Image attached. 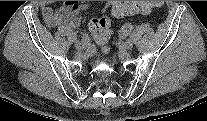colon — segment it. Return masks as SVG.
I'll return each instance as SVG.
<instances>
[{"instance_id": "5ec220e1", "label": "colon", "mask_w": 207, "mask_h": 121, "mask_svg": "<svg viewBox=\"0 0 207 121\" xmlns=\"http://www.w3.org/2000/svg\"><path fill=\"white\" fill-rule=\"evenodd\" d=\"M161 5L160 1H116L112 6V14L115 17H125L134 14H147L153 8ZM92 37L103 52L108 51V42L111 37V24L109 19L105 17H96L89 24Z\"/></svg>"}]
</instances>
